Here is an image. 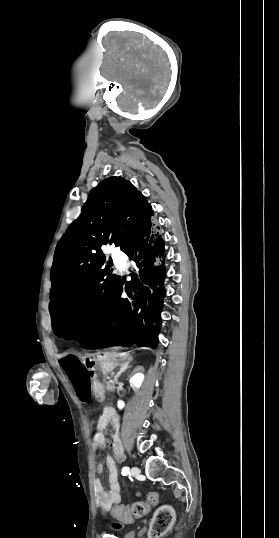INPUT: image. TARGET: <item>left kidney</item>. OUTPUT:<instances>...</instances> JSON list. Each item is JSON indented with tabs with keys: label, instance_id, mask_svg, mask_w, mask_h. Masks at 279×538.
I'll list each match as a JSON object with an SVG mask.
<instances>
[{
	"label": "left kidney",
	"instance_id": "1",
	"mask_svg": "<svg viewBox=\"0 0 279 538\" xmlns=\"http://www.w3.org/2000/svg\"><path fill=\"white\" fill-rule=\"evenodd\" d=\"M143 380H144L143 374H140V372H137V374H134V376H132V378H130L129 380L131 388H141ZM124 406H125L124 402H121V400H119L118 402L119 410H122Z\"/></svg>",
	"mask_w": 279,
	"mask_h": 538
}]
</instances>
